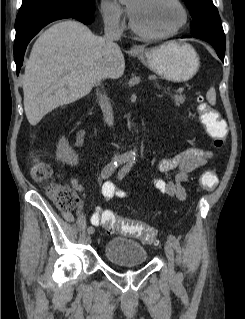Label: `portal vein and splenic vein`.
Instances as JSON below:
<instances>
[{
	"mask_svg": "<svg viewBox=\"0 0 245 319\" xmlns=\"http://www.w3.org/2000/svg\"><path fill=\"white\" fill-rule=\"evenodd\" d=\"M165 91H171L169 87L164 88Z\"/></svg>",
	"mask_w": 245,
	"mask_h": 319,
	"instance_id": "18ae733b",
	"label": "portal vein and splenic vein"
}]
</instances>
